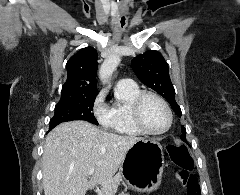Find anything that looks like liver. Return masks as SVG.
Instances as JSON below:
<instances>
[{
	"label": "liver",
	"instance_id": "liver-1",
	"mask_svg": "<svg viewBox=\"0 0 240 195\" xmlns=\"http://www.w3.org/2000/svg\"><path fill=\"white\" fill-rule=\"evenodd\" d=\"M142 137L102 131L88 121H64L45 137L42 165L44 195H85L100 185L104 195L117 189L125 155ZM95 167L88 179L89 169Z\"/></svg>",
	"mask_w": 240,
	"mask_h": 195
}]
</instances>
